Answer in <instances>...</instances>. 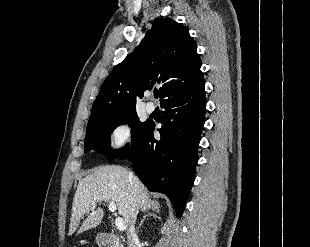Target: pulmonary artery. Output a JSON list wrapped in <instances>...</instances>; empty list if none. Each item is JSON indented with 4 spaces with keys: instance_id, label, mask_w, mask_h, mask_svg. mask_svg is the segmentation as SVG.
I'll list each match as a JSON object with an SVG mask.
<instances>
[{
    "instance_id": "pulmonary-artery-1",
    "label": "pulmonary artery",
    "mask_w": 310,
    "mask_h": 247,
    "mask_svg": "<svg viewBox=\"0 0 310 247\" xmlns=\"http://www.w3.org/2000/svg\"><path fill=\"white\" fill-rule=\"evenodd\" d=\"M145 110L147 113H153L155 110V105L153 102H147L145 104Z\"/></svg>"
}]
</instances>
